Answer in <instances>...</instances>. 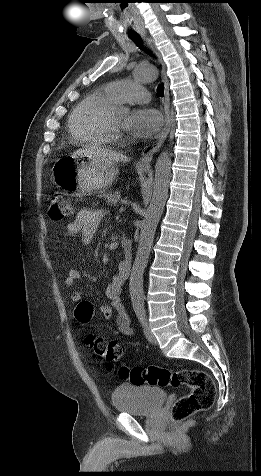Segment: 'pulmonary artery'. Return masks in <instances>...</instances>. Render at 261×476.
Returning a JSON list of instances; mask_svg holds the SVG:
<instances>
[{
    "mask_svg": "<svg viewBox=\"0 0 261 476\" xmlns=\"http://www.w3.org/2000/svg\"><path fill=\"white\" fill-rule=\"evenodd\" d=\"M106 92L117 102L147 103L150 101V93L138 82L122 80L108 84Z\"/></svg>",
    "mask_w": 261,
    "mask_h": 476,
    "instance_id": "pulmonary-artery-1",
    "label": "pulmonary artery"
}]
</instances>
